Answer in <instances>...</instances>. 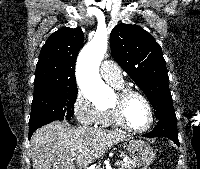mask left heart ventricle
<instances>
[{
	"label": "left heart ventricle",
	"mask_w": 200,
	"mask_h": 169,
	"mask_svg": "<svg viewBox=\"0 0 200 169\" xmlns=\"http://www.w3.org/2000/svg\"><path fill=\"white\" fill-rule=\"evenodd\" d=\"M114 98L113 102L115 101ZM126 119L130 126L142 128L149 122V110L145 102L138 96H131L125 105Z\"/></svg>",
	"instance_id": "left-heart-ventricle-1"
}]
</instances>
